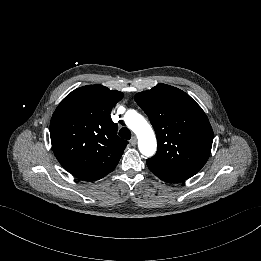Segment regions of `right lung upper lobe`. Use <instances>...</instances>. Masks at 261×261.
<instances>
[{
	"label": "right lung upper lobe",
	"instance_id": "cb5924a9",
	"mask_svg": "<svg viewBox=\"0 0 261 261\" xmlns=\"http://www.w3.org/2000/svg\"><path fill=\"white\" fill-rule=\"evenodd\" d=\"M123 93L102 85H87L68 94L50 122L53 152L73 176L94 181L119 162L127 141L117 136L110 112Z\"/></svg>",
	"mask_w": 261,
	"mask_h": 261
}]
</instances>
